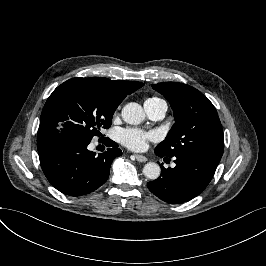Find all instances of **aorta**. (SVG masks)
I'll return each instance as SVG.
<instances>
[{"label": "aorta", "mask_w": 266, "mask_h": 266, "mask_svg": "<svg viewBox=\"0 0 266 266\" xmlns=\"http://www.w3.org/2000/svg\"><path fill=\"white\" fill-rule=\"evenodd\" d=\"M123 120L131 125H138L145 119V113L141 105L136 102H130L125 105L121 112ZM161 173L160 166L155 162L145 164L143 174L150 180H156Z\"/></svg>", "instance_id": "obj_1"}]
</instances>
